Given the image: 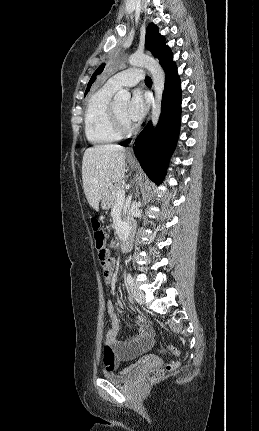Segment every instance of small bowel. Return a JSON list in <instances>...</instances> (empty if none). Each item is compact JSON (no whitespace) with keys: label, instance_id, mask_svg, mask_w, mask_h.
<instances>
[{"label":"small bowel","instance_id":"c3829d8e","mask_svg":"<svg viewBox=\"0 0 259 431\" xmlns=\"http://www.w3.org/2000/svg\"><path fill=\"white\" fill-rule=\"evenodd\" d=\"M112 267L104 266L101 269L103 281L106 283H111L113 281ZM106 309L111 320V328L105 339L107 345L111 349V356H108L104 352L103 360L108 369H113L120 361L133 359L150 349L152 346V329L146 320L139 316L135 320V324L138 328L137 334L130 338L119 339L120 322L115 312L114 305L110 300L106 302Z\"/></svg>","mask_w":259,"mask_h":431}]
</instances>
